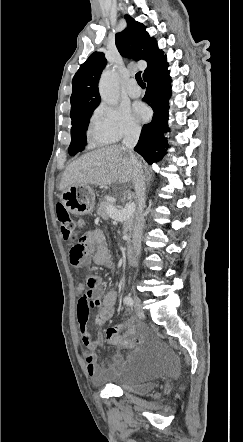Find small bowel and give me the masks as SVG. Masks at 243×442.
Returning a JSON list of instances; mask_svg holds the SVG:
<instances>
[{
  "label": "small bowel",
  "mask_w": 243,
  "mask_h": 442,
  "mask_svg": "<svg viewBox=\"0 0 243 442\" xmlns=\"http://www.w3.org/2000/svg\"><path fill=\"white\" fill-rule=\"evenodd\" d=\"M85 245V256L80 262H70L73 266H80L84 263H94L113 269L114 262L107 246L104 232L98 228L87 231L83 236ZM72 253V252H71ZM86 284L78 287L83 292L77 302V322L80 329L81 339L86 348L84 361L88 376L95 382L101 383L108 380L122 361L121 355H114L108 366L99 363L95 349L101 346L104 341L117 346L123 350H132L134 345L142 341L138 325L134 319H127L117 325L109 327L105 333L98 332L95 335L88 329V320L91 311L97 309L96 322L98 324L110 320L116 309L117 292L115 290L105 292L101 287V281L95 276H88ZM122 330H125L123 333Z\"/></svg>",
  "instance_id": "1"
}]
</instances>
